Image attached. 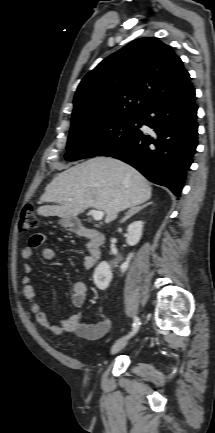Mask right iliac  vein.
<instances>
[{
	"mask_svg": "<svg viewBox=\"0 0 215 433\" xmlns=\"http://www.w3.org/2000/svg\"><path fill=\"white\" fill-rule=\"evenodd\" d=\"M127 344L126 340H120L118 342H116L112 348H111V354H116L118 352H120Z\"/></svg>",
	"mask_w": 215,
	"mask_h": 433,
	"instance_id": "1",
	"label": "right iliac vein"
}]
</instances>
